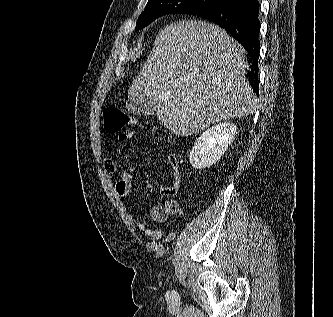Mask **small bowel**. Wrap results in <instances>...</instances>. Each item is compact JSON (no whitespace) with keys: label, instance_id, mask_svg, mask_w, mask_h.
Returning <instances> with one entry per match:
<instances>
[{"label":"small bowel","instance_id":"small-bowel-1","mask_svg":"<svg viewBox=\"0 0 333 317\" xmlns=\"http://www.w3.org/2000/svg\"><path fill=\"white\" fill-rule=\"evenodd\" d=\"M135 138L133 132L122 133L119 135L118 140L120 142L132 141ZM103 165L108 173H114L116 171V165L111 155V148L108 147L104 152ZM173 182L171 185L164 186L162 188V194L168 197H174L178 194L181 186V173L178 169L177 164L171 161ZM132 173L129 170H125L118 182L116 183V193L119 197H128L132 191ZM180 212V204L175 199H169L164 205L155 206L150 211V218L157 223L165 222L170 216L177 215ZM137 228L143 234L148 236L152 240H159L162 238L164 232L160 229H152L147 227L145 224L138 222Z\"/></svg>","mask_w":333,"mask_h":317}]
</instances>
